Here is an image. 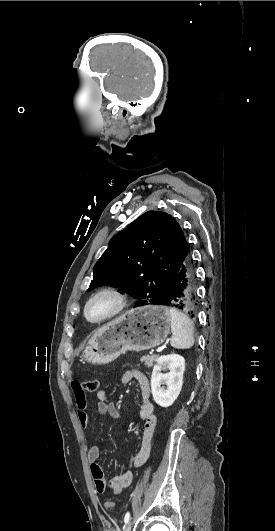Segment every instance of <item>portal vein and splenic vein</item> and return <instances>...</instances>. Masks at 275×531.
Masks as SVG:
<instances>
[{"mask_svg": "<svg viewBox=\"0 0 275 531\" xmlns=\"http://www.w3.org/2000/svg\"><path fill=\"white\" fill-rule=\"evenodd\" d=\"M168 342H169V339H166L165 344H168ZM163 349H165V346L158 347V352L163 351Z\"/></svg>", "mask_w": 275, "mask_h": 531, "instance_id": "18ae733b", "label": "portal vein and splenic vein"}]
</instances>
